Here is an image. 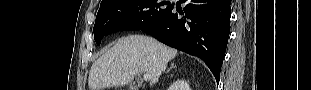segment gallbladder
<instances>
[{"label":"gallbladder","mask_w":311,"mask_h":90,"mask_svg":"<svg viewBox=\"0 0 311 90\" xmlns=\"http://www.w3.org/2000/svg\"><path fill=\"white\" fill-rule=\"evenodd\" d=\"M137 89H138V87L135 86V85H130L129 86V90H137Z\"/></svg>","instance_id":"gallbladder-1"}]
</instances>
